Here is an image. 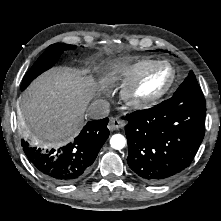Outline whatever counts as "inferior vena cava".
<instances>
[{
    "instance_id": "obj_1",
    "label": "inferior vena cava",
    "mask_w": 221,
    "mask_h": 221,
    "mask_svg": "<svg viewBox=\"0 0 221 221\" xmlns=\"http://www.w3.org/2000/svg\"><path fill=\"white\" fill-rule=\"evenodd\" d=\"M110 112V104L106 100L97 99L88 106L86 115L92 119H103Z\"/></svg>"
}]
</instances>
